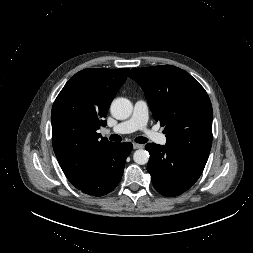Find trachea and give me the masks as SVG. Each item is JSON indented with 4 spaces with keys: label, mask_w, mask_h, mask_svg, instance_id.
<instances>
[{
    "label": "trachea",
    "mask_w": 253,
    "mask_h": 253,
    "mask_svg": "<svg viewBox=\"0 0 253 253\" xmlns=\"http://www.w3.org/2000/svg\"><path fill=\"white\" fill-rule=\"evenodd\" d=\"M109 139L111 141H116V142H119V141L122 140V138L119 135H117V134H112L109 137ZM147 141H148L147 138L142 137V136L135 138V142L140 143V144L146 143Z\"/></svg>",
    "instance_id": "trachea-1"
}]
</instances>
